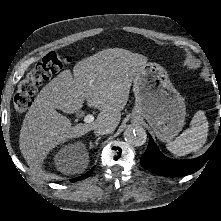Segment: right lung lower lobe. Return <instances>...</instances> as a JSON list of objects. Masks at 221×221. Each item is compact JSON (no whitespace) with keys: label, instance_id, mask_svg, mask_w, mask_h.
Wrapping results in <instances>:
<instances>
[{"label":"right lung lower lobe","instance_id":"98d812e1","mask_svg":"<svg viewBox=\"0 0 221 221\" xmlns=\"http://www.w3.org/2000/svg\"><path fill=\"white\" fill-rule=\"evenodd\" d=\"M93 169L89 170L87 173H85L84 175L80 176V177H77V178H74L72 179L71 181L75 182L77 180H82V179H85L87 177L90 176L91 172H92Z\"/></svg>","mask_w":221,"mask_h":221}]
</instances>
